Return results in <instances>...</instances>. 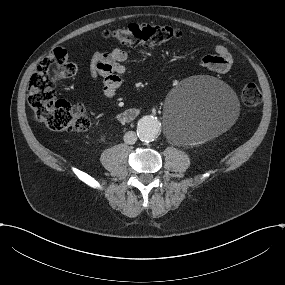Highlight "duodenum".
Listing matches in <instances>:
<instances>
[{"instance_id":"duodenum-1","label":"duodenum","mask_w":285,"mask_h":285,"mask_svg":"<svg viewBox=\"0 0 285 285\" xmlns=\"http://www.w3.org/2000/svg\"><path fill=\"white\" fill-rule=\"evenodd\" d=\"M138 116V109L129 108L119 113L118 120L121 123H129L135 120Z\"/></svg>"}]
</instances>
